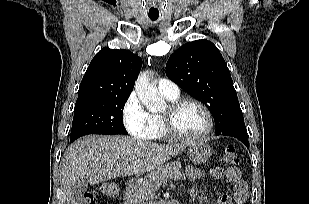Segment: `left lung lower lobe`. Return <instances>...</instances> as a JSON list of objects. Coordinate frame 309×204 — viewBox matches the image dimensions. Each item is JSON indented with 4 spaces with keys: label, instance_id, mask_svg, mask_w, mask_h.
<instances>
[{
    "label": "left lung lower lobe",
    "instance_id": "1",
    "mask_svg": "<svg viewBox=\"0 0 309 204\" xmlns=\"http://www.w3.org/2000/svg\"><path fill=\"white\" fill-rule=\"evenodd\" d=\"M216 135H225V136L235 137L239 139L240 141H242L248 147L247 130H246L244 122L228 126L224 130L220 132H216Z\"/></svg>",
    "mask_w": 309,
    "mask_h": 204
}]
</instances>
